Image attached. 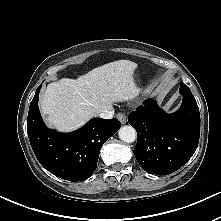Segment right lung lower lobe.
Returning a JSON list of instances; mask_svg holds the SVG:
<instances>
[{"label":"right lung lower lobe","mask_w":221,"mask_h":221,"mask_svg":"<svg viewBox=\"0 0 221 221\" xmlns=\"http://www.w3.org/2000/svg\"><path fill=\"white\" fill-rule=\"evenodd\" d=\"M41 85L29 107L27 132L31 147L40 164L53 175L79 181L89 178L97 167L99 153L106 142L121 127L116 119L93 118L77 131L58 133L44 125L38 95Z\"/></svg>","instance_id":"obj_1"}]
</instances>
